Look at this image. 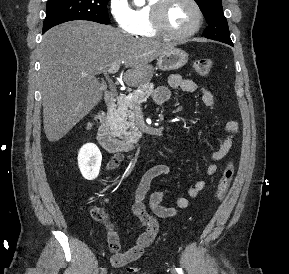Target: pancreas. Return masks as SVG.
Masks as SVG:
<instances>
[{
  "mask_svg": "<svg viewBox=\"0 0 289 274\" xmlns=\"http://www.w3.org/2000/svg\"><path fill=\"white\" fill-rule=\"evenodd\" d=\"M154 93L153 84L140 86L132 94L121 95L117 100V108L111 114L110 124L114 134L124 138L127 143H137L142 133L137 127L136 111L142 102Z\"/></svg>",
  "mask_w": 289,
  "mask_h": 274,
  "instance_id": "pancreas-1",
  "label": "pancreas"
}]
</instances>
